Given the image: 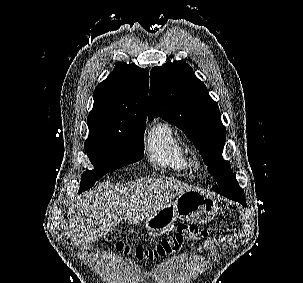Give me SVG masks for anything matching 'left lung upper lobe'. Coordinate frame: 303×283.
<instances>
[{"instance_id":"1","label":"left lung upper lobe","mask_w":303,"mask_h":283,"mask_svg":"<svg viewBox=\"0 0 303 283\" xmlns=\"http://www.w3.org/2000/svg\"><path fill=\"white\" fill-rule=\"evenodd\" d=\"M155 116L175 124L193 142L218 183L213 187L217 193L244 195L230 163L222 158L225 127L217 103L185 62H168L152 68L148 118L153 120Z\"/></svg>"}]
</instances>
